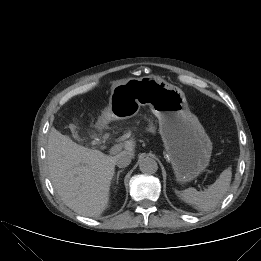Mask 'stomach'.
Listing matches in <instances>:
<instances>
[{"mask_svg": "<svg viewBox=\"0 0 261 261\" xmlns=\"http://www.w3.org/2000/svg\"><path fill=\"white\" fill-rule=\"evenodd\" d=\"M143 106L158 118L176 181L184 184L196 179L209 165L212 142L180 88L154 75L129 78L112 88L101 123L131 118Z\"/></svg>", "mask_w": 261, "mask_h": 261, "instance_id": "1", "label": "stomach"}]
</instances>
